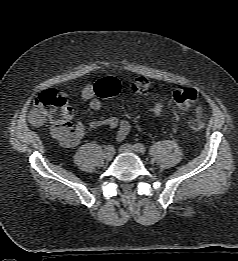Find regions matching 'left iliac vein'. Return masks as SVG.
I'll return each instance as SVG.
<instances>
[{
    "mask_svg": "<svg viewBox=\"0 0 238 261\" xmlns=\"http://www.w3.org/2000/svg\"><path fill=\"white\" fill-rule=\"evenodd\" d=\"M119 151L120 152H132V153L137 152L135 147L131 144H124V145L120 146Z\"/></svg>",
    "mask_w": 238,
    "mask_h": 261,
    "instance_id": "left-iliac-vein-1",
    "label": "left iliac vein"
}]
</instances>
